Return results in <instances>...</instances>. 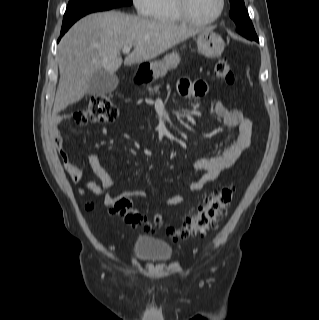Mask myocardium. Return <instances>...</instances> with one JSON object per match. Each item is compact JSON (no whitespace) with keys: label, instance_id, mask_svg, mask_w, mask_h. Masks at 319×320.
Segmentation results:
<instances>
[{"label":"myocardium","instance_id":"f54148a6","mask_svg":"<svg viewBox=\"0 0 319 320\" xmlns=\"http://www.w3.org/2000/svg\"><path fill=\"white\" fill-rule=\"evenodd\" d=\"M176 9L179 12V14L182 16V18L191 24L194 25H208L217 22L223 15L226 7V0H219L220 6L217 14L209 19H198L196 18L189 7V0H174Z\"/></svg>","mask_w":319,"mask_h":320}]
</instances>
